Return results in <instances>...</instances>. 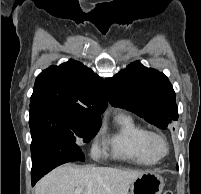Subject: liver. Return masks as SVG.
Masks as SVG:
<instances>
[{"label": "liver", "mask_w": 201, "mask_h": 194, "mask_svg": "<svg viewBox=\"0 0 201 194\" xmlns=\"http://www.w3.org/2000/svg\"><path fill=\"white\" fill-rule=\"evenodd\" d=\"M144 172L112 167L70 164L60 166L44 176L35 187V194H128L131 183Z\"/></svg>", "instance_id": "1"}]
</instances>
